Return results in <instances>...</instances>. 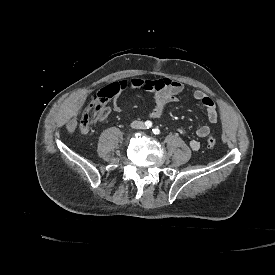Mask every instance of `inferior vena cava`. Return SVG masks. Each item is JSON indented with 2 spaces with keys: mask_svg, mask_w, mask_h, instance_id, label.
<instances>
[{
  "mask_svg": "<svg viewBox=\"0 0 275 275\" xmlns=\"http://www.w3.org/2000/svg\"><path fill=\"white\" fill-rule=\"evenodd\" d=\"M131 127L136 129H141L144 127V123L142 121L135 120L131 123Z\"/></svg>",
  "mask_w": 275,
  "mask_h": 275,
  "instance_id": "inferior-vena-cava-1",
  "label": "inferior vena cava"
}]
</instances>
